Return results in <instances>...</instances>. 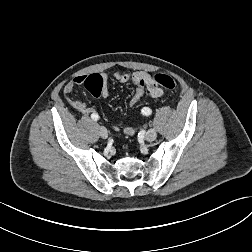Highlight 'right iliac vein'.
<instances>
[{
    "label": "right iliac vein",
    "mask_w": 252,
    "mask_h": 252,
    "mask_svg": "<svg viewBox=\"0 0 252 252\" xmlns=\"http://www.w3.org/2000/svg\"><path fill=\"white\" fill-rule=\"evenodd\" d=\"M100 136L103 138V139H106L108 138V131L105 127H101L100 128Z\"/></svg>",
    "instance_id": "1"
}]
</instances>
